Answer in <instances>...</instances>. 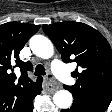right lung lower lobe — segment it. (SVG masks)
<instances>
[{"label":"right lung lower lobe","mask_w":112,"mask_h":112,"mask_svg":"<svg viewBox=\"0 0 112 112\" xmlns=\"http://www.w3.org/2000/svg\"><path fill=\"white\" fill-rule=\"evenodd\" d=\"M42 87L39 89V91L35 94L39 95L41 93ZM34 96V97H35ZM34 97L30 100V102L28 103V105L26 106L25 110L23 112H33V99Z\"/></svg>","instance_id":"98d812e1"}]
</instances>
